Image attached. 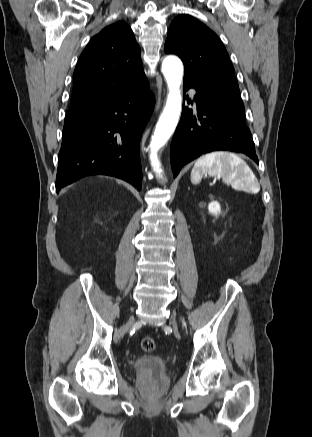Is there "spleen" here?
Listing matches in <instances>:
<instances>
[{
  "label": "spleen",
  "instance_id": "obj_1",
  "mask_svg": "<svg viewBox=\"0 0 312 437\" xmlns=\"http://www.w3.org/2000/svg\"><path fill=\"white\" fill-rule=\"evenodd\" d=\"M222 176L224 182L233 183L247 192L257 193L260 185L246 162L229 152H211L198 158L191 171V181L197 184L203 174Z\"/></svg>",
  "mask_w": 312,
  "mask_h": 437
}]
</instances>
